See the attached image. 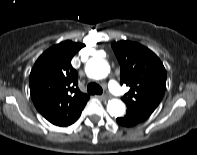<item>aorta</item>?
Wrapping results in <instances>:
<instances>
[{
	"instance_id": "762f6f07",
	"label": "aorta",
	"mask_w": 197,
	"mask_h": 155,
	"mask_svg": "<svg viewBox=\"0 0 197 155\" xmlns=\"http://www.w3.org/2000/svg\"><path fill=\"white\" fill-rule=\"evenodd\" d=\"M85 71L90 78L102 79L109 74L110 66L106 60L93 57L88 60ZM107 111L112 117H120L125 113V104L121 100L112 99L107 104Z\"/></svg>"
}]
</instances>
